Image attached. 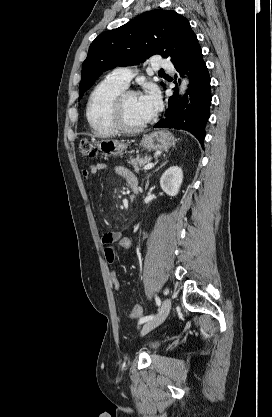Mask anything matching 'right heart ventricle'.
I'll list each match as a JSON object with an SVG mask.
<instances>
[{
    "label": "right heart ventricle",
    "instance_id": "obj_1",
    "mask_svg": "<svg viewBox=\"0 0 272 417\" xmlns=\"http://www.w3.org/2000/svg\"><path fill=\"white\" fill-rule=\"evenodd\" d=\"M125 89L126 87L108 76L99 82L90 93L86 105V117L96 135L110 137L117 133L111 123V108L115 98Z\"/></svg>",
    "mask_w": 272,
    "mask_h": 417
}]
</instances>
